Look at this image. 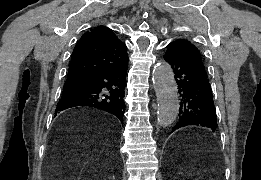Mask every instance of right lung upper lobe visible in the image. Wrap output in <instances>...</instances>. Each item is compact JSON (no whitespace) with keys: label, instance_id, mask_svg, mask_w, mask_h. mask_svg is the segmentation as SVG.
<instances>
[{"label":"right lung upper lobe","instance_id":"right-lung-upper-lobe-1","mask_svg":"<svg viewBox=\"0 0 261 180\" xmlns=\"http://www.w3.org/2000/svg\"><path fill=\"white\" fill-rule=\"evenodd\" d=\"M126 63V45L111 29L98 26L86 32L75 46L66 82H86L95 72Z\"/></svg>","mask_w":261,"mask_h":180}]
</instances>
